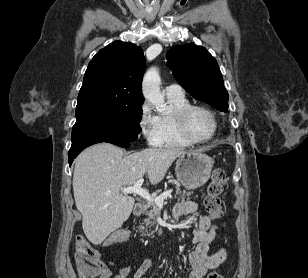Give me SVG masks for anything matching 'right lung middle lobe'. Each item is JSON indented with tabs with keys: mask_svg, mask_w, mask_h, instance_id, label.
Listing matches in <instances>:
<instances>
[{
	"mask_svg": "<svg viewBox=\"0 0 308 278\" xmlns=\"http://www.w3.org/2000/svg\"><path fill=\"white\" fill-rule=\"evenodd\" d=\"M142 106L76 115L72 144L84 141L130 142L141 133Z\"/></svg>",
	"mask_w": 308,
	"mask_h": 278,
	"instance_id": "1",
	"label": "right lung middle lobe"
}]
</instances>
